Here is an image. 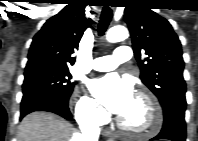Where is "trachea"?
<instances>
[{
  "label": "trachea",
  "instance_id": "3493384b",
  "mask_svg": "<svg viewBox=\"0 0 198 141\" xmlns=\"http://www.w3.org/2000/svg\"><path fill=\"white\" fill-rule=\"evenodd\" d=\"M112 18V11L109 7H104L98 25L99 36H103Z\"/></svg>",
  "mask_w": 198,
  "mask_h": 141
}]
</instances>
